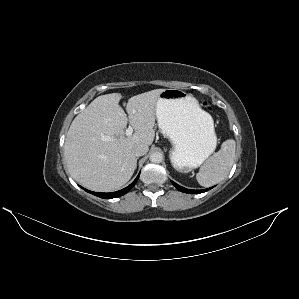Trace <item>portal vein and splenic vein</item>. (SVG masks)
I'll use <instances>...</instances> for the list:
<instances>
[{
  "instance_id": "portal-vein-and-splenic-vein-1",
  "label": "portal vein and splenic vein",
  "mask_w": 299,
  "mask_h": 299,
  "mask_svg": "<svg viewBox=\"0 0 299 299\" xmlns=\"http://www.w3.org/2000/svg\"><path fill=\"white\" fill-rule=\"evenodd\" d=\"M132 133H133V127H132V126H129V127L126 129L125 134H126V136H131ZM103 140H104V141H109V140H111V138L108 137V136H104V137H103Z\"/></svg>"
}]
</instances>
